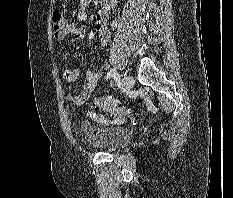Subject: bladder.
Returning a JSON list of instances; mask_svg holds the SVG:
<instances>
[{"label": "bladder", "mask_w": 233, "mask_h": 198, "mask_svg": "<svg viewBox=\"0 0 233 198\" xmlns=\"http://www.w3.org/2000/svg\"><path fill=\"white\" fill-rule=\"evenodd\" d=\"M82 133L92 147L106 152L122 149L129 144L133 136L127 127H98L89 123L82 125Z\"/></svg>", "instance_id": "bladder-1"}]
</instances>
